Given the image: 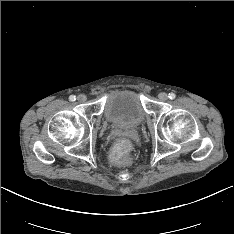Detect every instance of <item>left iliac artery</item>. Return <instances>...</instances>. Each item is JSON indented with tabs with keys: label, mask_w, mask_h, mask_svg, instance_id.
Masks as SVG:
<instances>
[{
	"label": "left iliac artery",
	"mask_w": 234,
	"mask_h": 234,
	"mask_svg": "<svg viewBox=\"0 0 234 234\" xmlns=\"http://www.w3.org/2000/svg\"><path fill=\"white\" fill-rule=\"evenodd\" d=\"M168 97L169 99L173 100L175 99L176 95L174 93H170Z\"/></svg>",
	"instance_id": "1"
}]
</instances>
